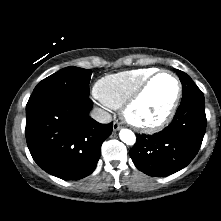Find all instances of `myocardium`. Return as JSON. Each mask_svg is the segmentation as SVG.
Returning <instances> with one entry per match:
<instances>
[{
    "instance_id": "1",
    "label": "myocardium",
    "mask_w": 221,
    "mask_h": 221,
    "mask_svg": "<svg viewBox=\"0 0 221 221\" xmlns=\"http://www.w3.org/2000/svg\"><path fill=\"white\" fill-rule=\"evenodd\" d=\"M162 74H168L174 79L176 83V94H175V97L173 99V102L170 108L168 109V111L162 118H160L159 120L155 122L144 123V122H138L134 120L131 116V110L142 98V96L144 95L145 91L150 86V84L158 76ZM181 96H182V84L178 76L170 70H166V69L157 70L154 73H152L150 76H148L123 103V105L121 106L123 118L135 130L146 132V133L157 132L161 130L162 128H164L172 120L179 106Z\"/></svg>"
}]
</instances>
